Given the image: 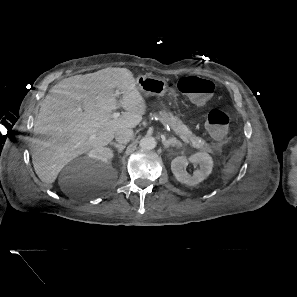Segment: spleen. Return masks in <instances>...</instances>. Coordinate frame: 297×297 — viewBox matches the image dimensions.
Instances as JSON below:
<instances>
[{"mask_svg":"<svg viewBox=\"0 0 297 297\" xmlns=\"http://www.w3.org/2000/svg\"><path fill=\"white\" fill-rule=\"evenodd\" d=\"M235 172V165L232 161L227 162L222 169V179L230 177Z\"/></svg>","mask_w":297,"mask_h":297,"instance_id":"spleen-1","label":"spleen"}]
</instances>
